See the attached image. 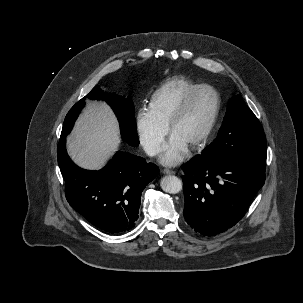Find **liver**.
<instances>
[{
	"label": "liver",
	"mask_w": 303,
	"mask_h": 303,
	"mask_svg": "<svg viewBox=\"0 0 303 303\" xmlns=\"http://www.w3.org/2000/svg\"><path fill=\"white\" fill-rule=\"evenodd\" d=\"M117 119L103 102L89 103L79 116L67 149L72 160L86 169L101 168L120 145Z\"/></svg>",
	"instance_id": "liver-1"
}]
</instances>
